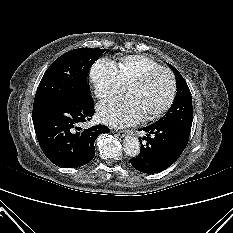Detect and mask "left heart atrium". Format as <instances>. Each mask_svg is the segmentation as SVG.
I'll return each instance as SVG.
<instances>
[{
    "instance_id": "left-heart-atrium-1",
    "label": "left heart atrium",
    "mask_w": 233,
    "mask_h": 233,
    "mask_svg": "<svg viewBox=\"0 0 233 233\" xmlns=\"http://www.w3.org/2000/svg\"><path fill=\"white\" fill-rule=\"evenodd\" d=\"M97 114L102 122L122 127L139 122L144 116V111L138 99L128 94L100 103Z\"/></svg>"
}]
</instances>
